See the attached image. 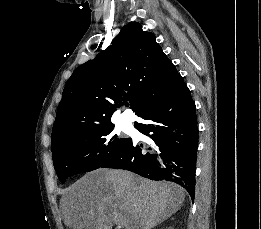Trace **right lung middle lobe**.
<instances>
[{
    "label": "right lung middle lobe",
    "mask_w": 261,
    "mask_h": 229,
    "mask_svg": "<svg viewBox=\"0 0 261 229\" xmlns=\"http://www.w3.org/2000/svg\"><path fill=\"white\" fill-rule=\"evenodd\" d=\"M114 125H89L71 129L72 134L52 150L59 180L102 167L130 144V138L113 135Z\"/></svg>",
    "instance_id": "dd1d6c3e"
}]
</instances>
